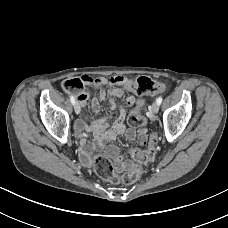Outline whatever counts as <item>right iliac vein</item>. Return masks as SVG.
Here are the masks:
<instances>
[{
    "label": "right iliac vein",
    "instance_id": "obj_1",
    "mask_svg": "<svg viewBox=\"0 0 228 228\" xmlns=\"http://www.w3.org/2000/svg\"><path fill=\"white\" fill-rule=\"evenodd\" d=\"M74 110H75V113L76 114H79L80 113V105H79V103H75L74 104Z\"/></svg>",
    "mask_w": 228,
    "mask_h": 228
}]
</instances>
